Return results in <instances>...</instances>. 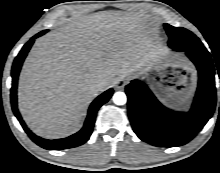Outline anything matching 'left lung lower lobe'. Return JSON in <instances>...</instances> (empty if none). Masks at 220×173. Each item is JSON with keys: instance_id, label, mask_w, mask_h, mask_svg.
<instances>
[{"instance_id": "0a47b994", "label": "left lung lower lobe", "mask_w": 220, "mask_h": 173, "mask_svg": "<svg viewBox=\"0 0 220 173\" xmlns=\"http://www.w3.org/2000/svg\"><path fill=\"white\" fill-rule=\"evenodd\" d=\"M179 49L186 52L199 71V86L190 112L165 108L137 80L126 86L133 130L142 141L155 146L174 147L190 141L211 118L215 107L214 67L208 52Z\"/></svg>"}]
</instances>
